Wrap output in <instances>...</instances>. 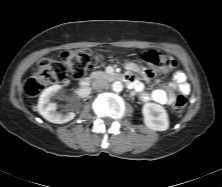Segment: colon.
Wrapping results in <instances>:
<instances>
[{
    "label": "colon",
    "instance_id": "colon-1",
    "mask_svg": "<svg viewBox=\"0 0 222 187\" xmlns=\"http://www.w3.org/2000/svg\"><path fill=\"white\" fill-rule=\"evenodd\" d=\"M99 60L100 55L93 54L89 50L66 51L60 60L43 58L27 79L25 91L29 96H37L51 84L62 82L68 78L80 80ZM144 60L150 66L151 73H161L172 66L171 58L156 50L146 51ZM186 105L187 98L184 95L176 96L172 105L173 113L175 115L181 114Z\"/></svg>",
    "mask_w": 222,
    "mask_h": 187
}]
</instances>
